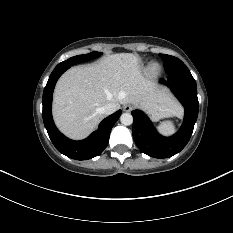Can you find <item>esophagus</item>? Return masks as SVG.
<instances>
[{
	"instance_id": "esophagus-1",
	"label": "esophagus",
	"mask_w": 233,
	"mask_h": 233,
	"mask_svg": "<svg viewBox=\"0 0 233 233\" xmlns=\"http://www.w3.org/2000/svg\"><path fill=\"white\" fill-rule=\"evenodd\" d=\"M123 110L125 112H130L132 110V106L130 104H124L123 105Z\"/></svg>"
}]
</instances>
